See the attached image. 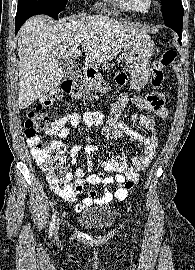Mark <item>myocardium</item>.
Instances as JSON below:
<instances>
[{"mask_svg": "<svg viewBox=\"0 0 195 270\" xmlns=\"http://www.w3.org/2000/svg\"><path fill=\"white\" fill-rule=\"evenodd\" d=\"M141 1L146 10L151 9L156 4L155 0H141Z\"/></svg>", "mask_w": 195, "mask_h": 270, "instance_id": "obj_1", "label": "myocardium"}]
</instances>
